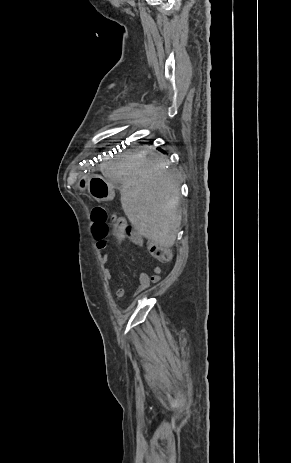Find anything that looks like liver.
I'll return each instance as SVG.
<instances>
[{"mask_svg": "<svg viewBox=\"0 0 291 463\" xmlns=\"http://www.w3.org/2000/svg\"><path fill=\"white\" fill-rule=\"evenodd\" d=\"M168 162L151 151L123 153L101 165L103 176L121 184V204L137 232L162 247H172L182 216L179 185Z\"/></svg>", "mask_w": 291, "mask_h": 463, "instance_id": "6515ba94", "label": "liver"}]
</instances>
